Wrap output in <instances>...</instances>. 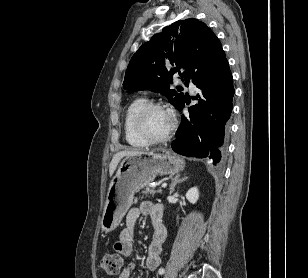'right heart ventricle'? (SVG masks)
Segmentation results:
<instances>
[{
    "mask_svg": "<svg viewBox=\"0 0 308 278\" xmlns=\"http://www.w3.org/2000/svg\"><path fill=\"white\" fill-rule=\"evenodd\" d=\"M146 103L147 100L145 98L137 97L127 105L124 111L123 129L125 139L127 143L134 148H143L148 145V143L137 134L133 125L135 113Z\"/></svg>",
    "mask_w": 308,
    "mask_h": 278,
    "instance_id": "e07e8e85",
    "label": "right heart ventricle"
}]
</instances>
